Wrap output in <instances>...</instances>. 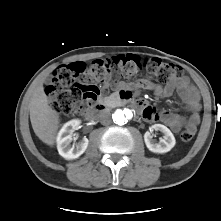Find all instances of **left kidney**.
Listing matches in <instances>:
<instances>
[{"label":"left kidney","mask_w":221,"mask_h":221,"mask_svg":"<svg viewBox=\"0 0 221 221\" xmlns=\"http://www.w3.org/2000/svg\"><path fill=\"white\" fill-rule=\"evenodd\" d=\"M149 130L150 132L147 131L144 134V141L150 151L154 153H166L175 146V137L166 126L162 124H154L150 127ZM153 130L161 131L164 134L163 138L158 143H155L152 139L153 137L151 133Z\"/></svg>","instance_id":"5707ae66"}]
</instances>
